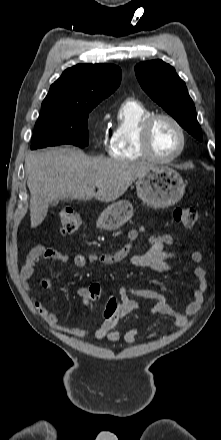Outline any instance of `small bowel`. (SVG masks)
Returning a JSON list of instances; mask_svg holds the SVG:
<instances>
[{"label": "small bowel", "mask_w": 221, "mask_h": 440, "mask_svg": "<svg viewBox=\"0 0 221 440\" xmlns=\"http://www.w3.org/2000/svg\"><path fill=\"white\" fill-rule=\"evenodd\" d=\"M144 227L139 229H131L127 235V243L118 251L108 254H77L73 257L74 264L83 268L90 264L98 265H114L124 260H130L134 265L142 268L151 269L157 273H167L172 270V266L168 263L170 259H176V255L171 251L172 248L178 246V242L170 235H155L149 238L150 248L143 254L132 253V244L137 239L139 233L145 232ZM42 260H53L60 263H67L69 256L59 250L46 247L44 245L34 246L26 257L25 263L21 268V280L24 289L30 294L33 304L39 314L51 325V327L68 336L76 338L94 337L97 340H109L117 342L121 338L127 344L136 341L139 333L138 328L129 329L123 336L115 329L118 322L126 315L140 309L139 303L130 298V296H138L157 301L156 306L150 311V314H160L170 317L177 327H184L187 324L189 315L197 313L203 303L204 293L207 288L206 272L201 267H195L193 274L199 280V286L193 291L192 301L184 308L183 311L175 310L165 299L164 295L154 290H139L128 287H122L119 290V305L114 313L112 321H102L96 329L85 327H64L60 325L61 316L58 312H49L43 302L32 293L31 277L36 265ZM194 263H199L202 256L199 252L191 255ZM54 280L49 278H41L38 284L43 288H51L54 286ZM91 286V285H90ZM90 286H78L75 288V294L81 299V308H87V298ZM52 301L58 304V299L52 297Z\"/></svg>", "instance_id": "small-bowel-1"}]
</instances>
